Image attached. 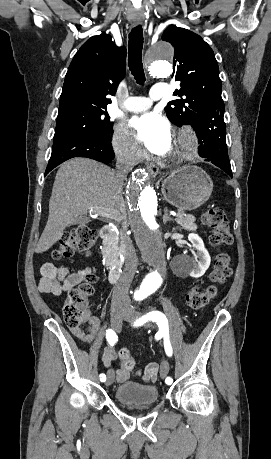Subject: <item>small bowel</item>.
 <instances>
[{"label":"small bowel","instance_id":"small-bowel-1","mask_svg":"<svg viewBox=\"0 0 271 459\" xmlns=\"http://www.w3.org/2000/svg\"><path fill=\"white\" fill-rule=\"evenodd\" d=\"M94 269L85 268L77 272H70L64 266H55L46 263L41 267V278L39 281V290L42 293L60 296L73 287L81 283L86 276L93 274ZM100 320L98 317L89 315L84 321V325L72 327V334L80 341L96 345L99 344ZM102 361L108 372L113 374L114 379L121 383L129 378V372L121 368H115L114 362L117 359L116 352L111 347H105L102 352ZM158 373V363H148L144 367L143 380L145 382L155 380Z\"/></svg>","mask_w":271,"mask_h":459}]
</instances>
